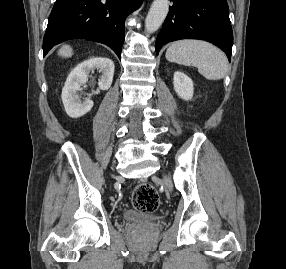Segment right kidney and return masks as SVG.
Listing matches in <instances>:
<instances>
[{"instance_id": "right-kidney-1", "label": "right kidney", "mask_w": 286, "mask_h": 269, "mask_svg": "<svg viewBox=\"0 0 286 269\" xmlns=\"http://www.w3.org/2000/svg\"><path fill=\"white\" fill-rule=\"evenodd\" d=\"M99 70L101 77L98 85L101 90H108L114 75V63L108 58H91L77 65L69 74L62 90V101L66 113L72 118L85 115L93 107V101L85 98L81 101L78 92L80 86L88 80L90 71Z\"/></svg>"}]
</instances>
